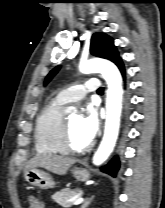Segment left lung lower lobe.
Segmentation results:
<instances>
[{
	"label": "left lung lower lobe",
	"mask_w": 165,
	"mask_h": 208,
	"mask_svg": "<svg viewBox=\"0 0 165 208\" xmlns=\"http://www.w3.org/2000/svg\"><path fill=\"white\" fill-rule=\"evenodd\" d=\"M116 65L118 66L123 77L125 78V69H124V65H123V62L121 61V59L118 60ZM119 168H120V161H119L118 156H116L107 165L103 166L101 169H102V171L115 177L118 173Z\"/></svg>",
	"instance_id": "obj_1"
}]
</instances>
